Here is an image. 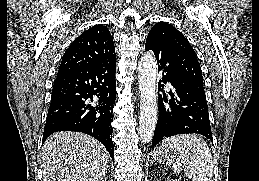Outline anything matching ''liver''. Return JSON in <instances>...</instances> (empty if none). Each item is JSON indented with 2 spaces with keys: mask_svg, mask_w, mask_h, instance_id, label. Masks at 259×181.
Wrapping results in <instances>:
<instances>
[{
  "mask_svg": "<svg viewBox=\"0 0 259 181\" xmlns=\"http://www.w3.org/2000/svg\"><path fill=\"white\" fill-rule=\"evenodd\" d=\"M43 181H102L109 155L89 135L57 132L45 141L41 151Z\"/></svg>",
  "mask_w": 259,
  "mask_h": 181,
  "instance_id": "obj_1",
  "label": "liver"
}]
</instances>
